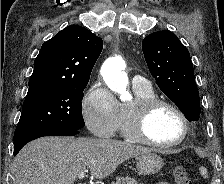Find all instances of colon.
<instances>
[{"instance_id": "obj_1", "label": "colon", "mask_w": 224, "mask_h": 184, "mask_svg": "<svg viewBox=\"0 0 224 184\" xmlns=\"http://www.w3.org/2000/svg\"><path fill=\"white\" fill-rule=\"evenodd\" d=\"M173 177L175 184H193L184 166H176L173 170Z\"/></svg>"}]
</instances>
